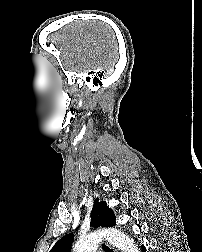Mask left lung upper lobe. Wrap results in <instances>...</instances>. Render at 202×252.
<instances>
[{"mask_svg":"<svg viewBox=\"0 0 202 252\" xmlns=\"http://www.w3.org/2000/svg\"><path fill=\"white\" fill-rule=\"evenodd\" d=\"M115 215L111 209L107 207L105 202H99V199H95L93 210L91 212V226H114ZM74 240L72 233L65 235L56 242L50 252H70V246Z\"/></svg>","mask_w":202,"mask_h":252,"instance_id":"left-lung-upper-lobe-1","label":"left lung upper lobe"}]
</instances>
